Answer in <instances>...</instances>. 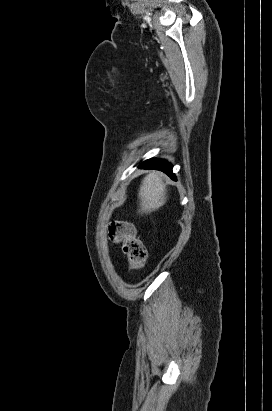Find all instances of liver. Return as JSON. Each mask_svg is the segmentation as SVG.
<instances>
[{"instance_id": "liver-1", "label": "liver", "mask_w": 272, "mask_h": 411, "mask_svg": "<svg viewBox=\"0 0 272 411\" xmlns=\"http://www.w3.org/2000/svg\"><path fill=\"white\" fill-rule=\"evenodd\" d=\"M167 188L158 172H151L142 180L138 198V213L149 214L160 208L167 200Z\"/></svg>"}]
</instances>
